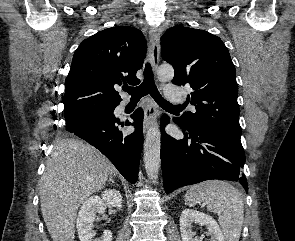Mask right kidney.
<instances>
[{"mask_svg":"<svg viewBox=\"0 0 295 241\" xmlns=\"http://www.w3.org/2000/svg\"><path fill=\"white\" fill-rule=\"evenodd\" d=\"M106 206L121 209L122 196L119 191L115 189L105 190L102 192L101 197L91 196L82 204L76 224L80 241H94L92 227L96 213L103 214ZM95 241H112V233L105 230L103 235Z\"/></svg>","mask_w":295,"mask_h":241,"instance_id":"ca27d5eb","label":"right kidney"}]
</instances>
